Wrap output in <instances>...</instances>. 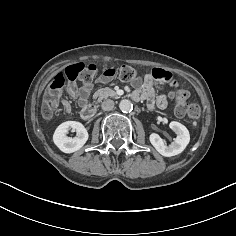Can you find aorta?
<instances>
[{
	"label": "aorta",
	"mask_w": 236,
	"mask_h": 236,
	"mask_svg": "<svg viewBox=\"0 0 236 236\" xmlns=\"http://www.w3.org/2000/svg\"><path fill=\"white\" fill-rule=\"evenodd\" d=\"M119 108L122 112H130L133 109V104L131 103L130 100L127 99H123L121 100L120 104H119Z\"/></svg>",
	"instance_id": "762f6f07"
}]
</instances>
